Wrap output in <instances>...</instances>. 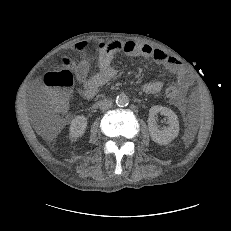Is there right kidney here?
<instances>
[{"label": "right kidney", "mask_w": 231, "mask_h": 231, "mask_svg": "<svg viewBox=\"0 0 231 231\" xmlns=\"http://www.w3.org/2000/svg\"><path fill=\"white\" fill-rule=\"evenodd\" d=\"M87 127V118L83 115L76 116L70 124V135L77 139L84 135Z\"/></svg>", "instance_id": "right-kidney-1"}]
</instances>
